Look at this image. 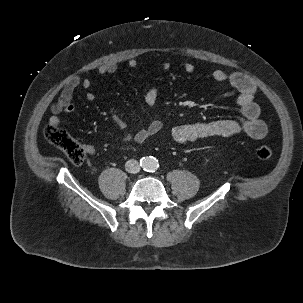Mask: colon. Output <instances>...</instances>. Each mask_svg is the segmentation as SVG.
<instances>
[{
  "mask_svg": "<svg viewBox=\"0 0 303 303\" xmlns=\"http://www.w3.org/2000/svg\"><path fill=\"white\" fill-rule=\"evenodd\" d=\"M47 141L59 149L73 164H82L86 159L85 149L67 131L58 125L48 124L44 130ZM259 159L267 160L272 156V150L268 146H260L255 150Z\"/></svg>",
  "mask_w": 303,
  "mask_h": 303,
  "instance_id": "obj_1",
  "label": "colon"
}]
</instances>
